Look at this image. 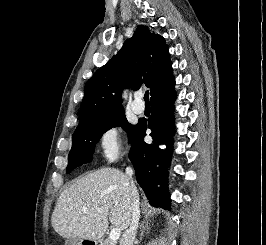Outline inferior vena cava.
Wrapping results in <instances>:
<instances>
[{"label": "inferior vena cava", "mask_w": 266, "mask_h": 245, "mask_svg": "<svg viewBox=\"0 0 266 245\" xmlns=\"http://www.w3.org/2000/svg\"><path fill=\"white\" fill-rule=\"evenodd\" d=\"M125 171L126 175L130 177L129 193L132 201L131 203L132 219L129 229L125 231L120 241V245H134L135 237L137 235V227L140 219L139 193L137 191V187H135L134 181H132V175H134L133 169H131V167H127Z\"/></svg>", "instance_id": "inferior-vena-cava-1"}]
</instances>
